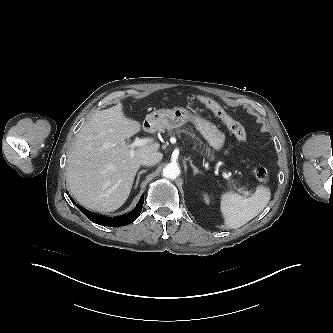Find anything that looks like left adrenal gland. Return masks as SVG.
<instances>
[{
    "label": "left adrenal gland",
    "mask_w": 333,
    "mask_h": 333,
    "mask_svg": "<svg viewBox=\"0 0 333 333\" xmlns=\"http://www.w3.org/2000/svg\"><path fill=\"white\" fill-rule=\"evenodd\" d=\"M190 166L193 168V174L196 175L198 173H201V171H199V169L193 164L192 161H190Z\"/></svg>",
    "instance_id": "1"
}]
</instances>
